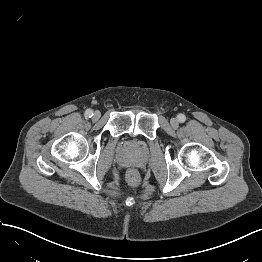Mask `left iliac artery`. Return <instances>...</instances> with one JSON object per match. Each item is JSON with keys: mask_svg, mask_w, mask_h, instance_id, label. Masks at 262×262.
Returning <instances> with one entry per match:
<instances>
[{"mask_svg": "<svg viewBox=\"0 0 262 262\" xmlns=\"http://www.w3.org/2000/svg\"><path fill=\"white\" fill-rule=\"evenodd\" d=\"M178 119H179L180 122H184L186 120V117L183 114H179Z\"/></svg>", "mask_w": 262, "mask_h": 262, "instance_id": "1", "label": "left iliac artery"}]
</instances>
